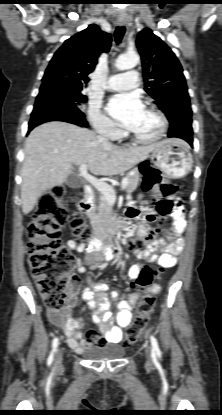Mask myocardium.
I'll use <instances>...</instances> for the list:
<instances>
[{
    "mask_svg": "<svg viewBox=\"0 0 222 415\" xmlns=\"http://www.w3.org/2000/svg\"><path fill=\"white\" fill-rule=\"evenodd\" d=\"M145 108L150 110L151 112H153L158 117V119L160 120V129L157 132V134L155 136L151 137V138H144V137H141V136L133 133L130 129L126 130V134L134 142L139 143V144L156 143L157 141L162 139L163 136L165 135V133L167 131V128H168V119H167L166 115L160 109H158L156 106H154L152 104H146Z\"/></svg>",
    "mask_w": 222,
    "mask_h": 415,
    "instance_id": "myocardium-1",
    "label": "myocardium"
}]
</instances>
